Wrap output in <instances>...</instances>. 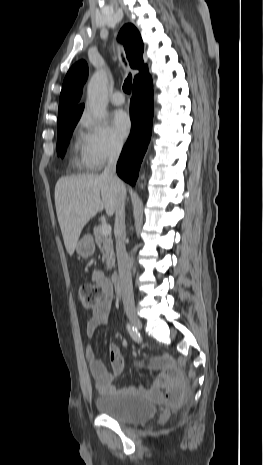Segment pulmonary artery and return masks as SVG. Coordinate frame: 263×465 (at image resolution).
Listing matches in <instances>:
<instances>
[{
	"mask_svg": "<svg viewBox=\"0 0 263 465\" xmlns=\"http://www.w3.org/2000/svg\"><path fill=\"white\" fill-rule=\"evenodd\" d=\"M124 102H125L124 95L119 91L114 92L113 95L111 96V103L115 106H120L124 104Z\"/></svg>",
	"mask_w": 263,
	"mask_h": 465,
	"instance_id": "1",
	"label": "pulmonary artery"
}]
</instances>
